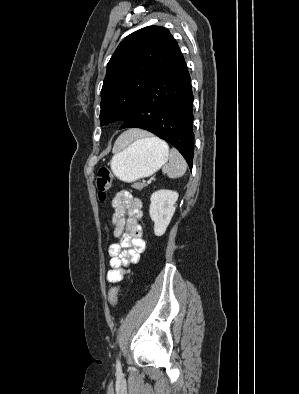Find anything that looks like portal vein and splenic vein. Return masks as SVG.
Returning <instances> with one entry per match:
<instances>
[{
	"instance_id": "1",
	"label": "portal vein and splenic vein",
	"mask_w": 299,
	"mask_h": 394,
	"mask_svg": "<svg viewBox=\"0 0 299 394\" xmlns=\"http://www.w3.org/2000/svg\"><path fill=\"white\" fill-rule=\"evenodd\" d=\"M147 182H148V183H151V179H149Z\"/></svg>"
}]
</instances>
